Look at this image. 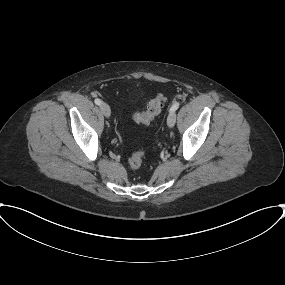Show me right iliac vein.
Listing matches in <instances>:
<instances>
[{
	"mask_svg": "<svg viewBox=\"0 0 285 285\" xmlns=\"http://www.w3.org/2000/svg\"><path fill=\"white\" fill-rule=\"evenodd\" d=\"M100 110H101V112L103 113V115L105 117H107V118L110 117L111 111H110L109 106L106 103H101L100 104Z\"/></svg>",
	"mask_w": 285,
	"mask_h": 285,
	"instance_id": "63e3f726",
	"label": "right iliac vein"
}]
</instances>
